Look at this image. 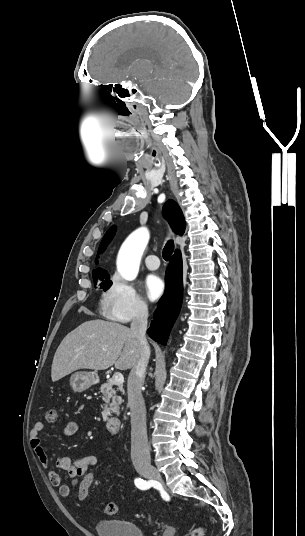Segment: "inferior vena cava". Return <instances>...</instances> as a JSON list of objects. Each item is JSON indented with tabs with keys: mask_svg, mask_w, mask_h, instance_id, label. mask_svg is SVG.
Instances as JSON below:
<instances>
[{
	"mask_svg": "<svg viewBox=\"0 0 305 536\" xmlns=\"http://www.w3.org/2000/svg\"><path fill=\"white\" fill-rule=\"evenodd\" d=\"M148 308L145 304L138 306L131 322V332L138 338L142 352L137 366L132 368L127 384L128 404L131 412V458L141 462H150L146 430V410L141 394L146 368L150 358V348L146 340Z\"/></svg>",
	"mask_w": 305,
	"mask_h": 536,
	"instance_id": "1",
	"label": "inferior vena cava"
}]
</instances>
